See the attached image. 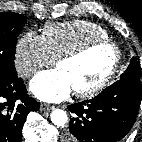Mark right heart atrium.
I'll list each match as a JSON object with an SVG mask.
<instances>
[{
  "instance_id": "obj_1",
  "label": "right heart atrium",
  "mask_w": 142,
  "mask_h": 142,
  "mask_svg": "<svg viewBox=\"0 0 142 142\" xmlns=\"http://www.w3.org/2000/svg\"><path fill=\"white\" fill-rule=\"evenodd\" d=\"M14 63L22 78H29L40 68L53 65L54 59L47 50L41 36L30 31L16 43Z\"/></svg>"
}]
</instances>
